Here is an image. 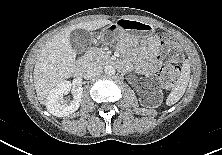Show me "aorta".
I'll return each instance as SVG.
<instances>
[{
  "label": "aorta",
  "instance_id": "obj_1",
  "mask_svg": "<svg viewBox=\"0 0 222 155\" xmlns=\"http://www.w3.org/2000/svg\"><path fill=\"white\" fill-rule=\"evenodd\" d=\"M104 72L108 76H112L115 74V68L112 65H107L104 68Z\"/></svg>",
  "mask_w": 222,
  "mask_h": 155
}]
</instances>
